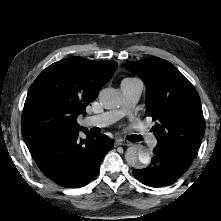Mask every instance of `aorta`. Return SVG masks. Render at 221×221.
<instances>
[{"mask_svg":"<svg viewBox=\"0 0 221 221\" xmlns=\"http://www.w3.org/2000/svg\"><path fill=\"white\" fill-rule=\"evenodd\" d=\"M99 101L105 109H113L121 102V94L114 88H105L99 93ZM126 162L134 167L141 168L150 163V152L141 145L130 146L125 152Z\"/></svg>","mask_w":221,"mask_h":221,"instance_id":"obj_1","label":"aorta"}]
</instances>
